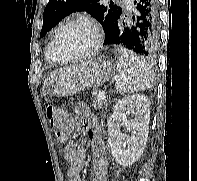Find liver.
Here are the masks:
<instances>
[{"mask_svg":"<svg viewBox=\"0 0 197 181\" xmlns=\"http://www.w3.org/2000/svg\"><path fill=\"white\" fill-rule=\"evenodd\" d=\"M86 63L79 64L77 66L67 67V68H60L52 71L50 75L45 79L43 83V90L48 88L54 82H57L64 77L73 74L74 72L78 71L79 69L83 68Z\"/></svg>","mask_w":197,"mask_h":181,"instance_id":"liver-1","label":"liver"}]
</instances>
